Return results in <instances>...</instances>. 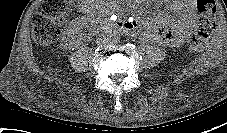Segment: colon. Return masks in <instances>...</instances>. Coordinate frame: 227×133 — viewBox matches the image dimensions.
Listing matches in <instances>:
<instances>
[{"label":"colon","instance_id":"1","mask_svg":"<svg viewBox=\"0 0 227 133\" xmlns=\"http://www.w3.org/2000/svg\"><path fill=\"white\" fill-rule=\"evenodd\" d=\"M84 0H42L32 18V35L40 45L53 44L61 32V21L69 9L83 6ZM199 11L198 29L193 36L190 48L197 51L210 38L216 24L214 0H196Z\"/></svg>","mask_w":227,"mask_h":133}]
</instances>
